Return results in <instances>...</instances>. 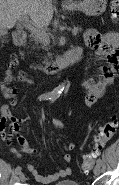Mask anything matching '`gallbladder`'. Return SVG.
Returning <instances> with one entry per match:
<instances>
[{
  "instance_id": "bac80fb5",
  "label": "gallbladder",
  "mask_w": 119,
  "mask_h": 185,
  "mask_svg": "<svg viewBox=\"0 0 119 185\" xmlns=\"http://www.w3.org/2000/svg\"><path fill=\"white\" fill-rule=\"evenodd\" d=\"M19 23H21V22H19ZM5 35H7V30H5V29H0V37H1V36H5Z\"/></svg>"
}]
</instances>
